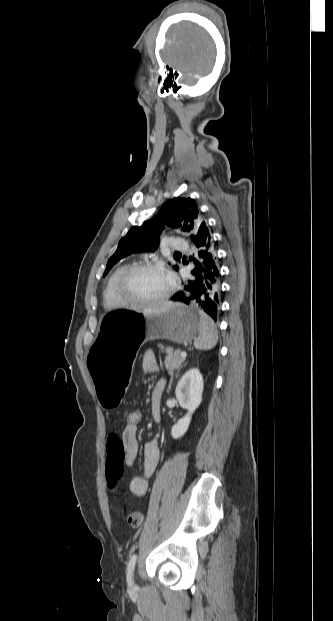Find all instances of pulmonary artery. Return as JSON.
I'll list each match as a JSON object with an SVG mask.
<instances>
[{"mask_svg": "<svg viewBox=\"0 0 333 621\" xmlns=\"http://www.w3.org/2000/svg\"><path fill=\"white\" fill-rule=\"evenodd\" d=\"M170 247L174 251H183L188 248V244L182 238H173L170 242Z\"/></svg>", "mask_w": 333, "mask_h": 621, "instance_id": "obj_1", "label": "pulmonary artery"}]
</instances>
